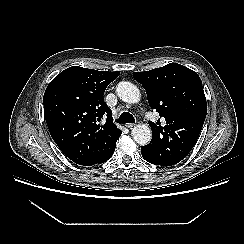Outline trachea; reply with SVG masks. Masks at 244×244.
Instances as JSON below:
<instances>
[{"mask_svg":"<svg viewBox=\"0 0 244 244\" xmlns=\"http://www.w3.org/2000/svg\"><path fill=\"white\" fill-rule=\"evenodd\" d=\"M117 123L119 124H125V123H135V119L133 117L132 114H130L129 112H123L118 120H117Z\"/></svg>","mask_w":244,"mask_h":244,"instance_id":"3493384b","label":"trachea"}]
</instances>
